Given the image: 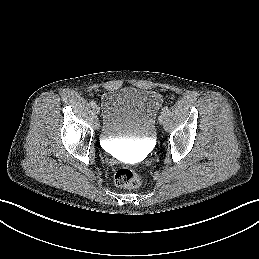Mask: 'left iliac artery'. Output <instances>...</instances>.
Returning <instances> with one entry per match:
<instances>
[{"label":"left iliac artery","mask_w":259,"mask_h":259,"mask_svg":"<svg viewBox=\"0 0 259 259\" xmlns=\"http://www.w3.org/2000/svg\"><path fill=\"white\" fill-rule=\"evenodd\" d=\"M168 112H169V108H168V106H165V107H163V108H162L161 113L166 114V113H168Z\"/></svg>","instance_id":"left-iliac-artery-1"}]
</instances>
